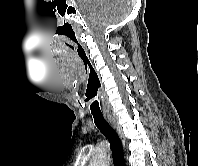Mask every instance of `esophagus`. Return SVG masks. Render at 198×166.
Listing matches in <instances>:
<instances>
[{
  "label": "esophagus",
  "mask_w": 198,
  "mask_h": 166,
  "mask_svg": "<svg viewBox=\"0 0 198 166\" xmlns=\"http://www.w3.org/2000/svg\"><path fill=\"white\" fill-rule=\"evenodd\" d=\"M107 119H108L109 123L111 124V126L118 133V135H119V137L121 139L122 145L125 147V145H126V139L124 137L123 131H122L120 125L118 124L116 118L113 117L112 115H107Z\"/></svg>",
  "instance_id": "esophagus-1"
}]
</instances>
